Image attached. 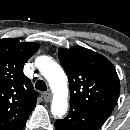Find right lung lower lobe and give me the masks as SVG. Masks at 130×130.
<instances>
[{
  "mask_svg": "<svg viewBox=\"0 0 130 130\" xmlns=\"http://www.w3.org/2000/svg\"><path fill=\"white\" fill-rule=\"evenodd\" d=\"M24 126H25V123L21 125L20 127L16 128L15 130H23Z\"/></svg>",
  "mask_w": 130,
  "mask_h": 130,
  "instance_id": "obj_1",
  "label": "right lung lower lobe"
}]
</instances>
